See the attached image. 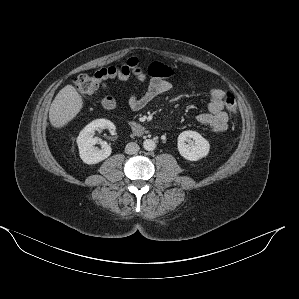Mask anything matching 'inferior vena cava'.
I'll return each mask as SVG.
<instances>
[{
	"instance_id": "inferior-vena-cava-1",
	"label": "inferior vena cava",
	"mask_w": 299,
	"mask_h": 299,
	"mask_svg": "<svg viewBox=\"0 0 299 299\" xmlns=\"http://www.w3.org/2000/svg\"><path fill=\"white\" fill-rule=\"evenodd\" d=\"M139 145L135 142H130L125 147V153L127 154H136L139 151Z\"/></svg>"
}]
</instances>
